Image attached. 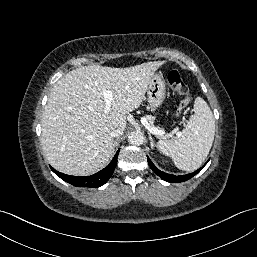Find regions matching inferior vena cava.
<instances>
[{"label": "inferior vena cava", "instance_id": "602c4592", "mask_svg": "<svg viewBox=\"0 0 257 257\" xmlns=\"http://www.w3.org/2000/svg\"><path fill=\"white\" fill-rule=\"evenodd\" d=\"M124 133V130L122 128L113 129L110 132V136L112 137H118L121 136Z\"/></svg>", "mask_w": 257, "mask_h": 257}]
</instances>
